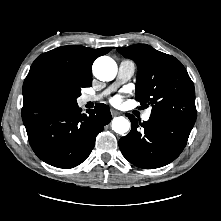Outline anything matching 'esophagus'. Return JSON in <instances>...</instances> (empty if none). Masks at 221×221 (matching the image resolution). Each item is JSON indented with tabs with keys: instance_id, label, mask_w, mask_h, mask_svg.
I'll use <instances>...</instances> for the list:
<instances>
[{
	"instance_id": "obj_1",
	"label": "esophagus",
	"mask_w": 221,
	"mask_h": 221,
	"mask_svg": "<svg viewBox=\"0 0 221 221\" xmlns=\"http://www.w3.org/2000/svg\"><path fill=\"white\" fill-rule=\"evenodd\" d=\"M111 114H112V116H117L120 114V112H118L116 110H111Z\"/></svg>"
}]
</instances>
